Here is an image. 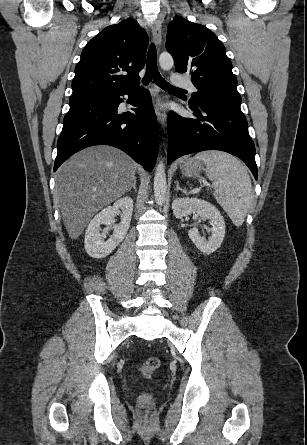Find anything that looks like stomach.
<instances>
[{"instance_id": "stomach-1", "label": "stomach", "mask_w": 307, "mask_h": 445, "mask_svg": "<svg viewBox=\"0 0 307 445\" xmlns=\"http://www.w3.org/2000/svg\"><path fill=\"white\" fill-rule=\"evenodd\" d=\"M203 168V162L196 160V158H188L184 164H181V172L185 176H199Z\"/></svg>"}]
</instances>
